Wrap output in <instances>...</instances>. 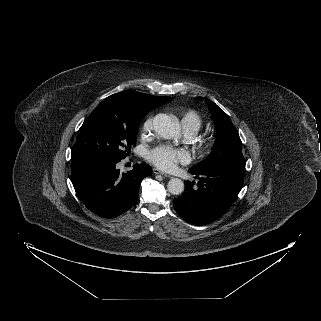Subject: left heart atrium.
<instances>
[{
	"label": "left heart atrium",
	"instance_id": "obj_1",
	"mask_svg": "<svg viewBox=\"0 0 321 321\" xmlns=\"http://www.w3.org/2000/svg\"><path fill=\"white\" fill-rule=\"evenodd\" d=\"M148 160L163 170H171L178 163H188L190 154L184 149L174 148L168 145L158 146L148 152Z\"/></svg>",
	"mask_w": 321,
	"mask_h": 321
}]
</instances>
